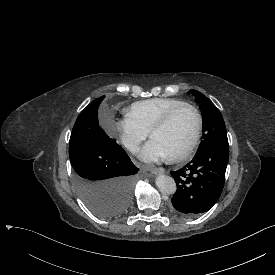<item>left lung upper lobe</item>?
I'll return each instance as SVG.
<instances>
[{"label": "left lung upper lobe", "mask_w": 275, "mask_h": 275, "mask_svg": "<svg viewBox=\"0 0 275 275\" xmlns=\"http://www.w3.org/2000/svg\"><path fill=\"white\" fill-rule=\"evenodd\" d=\"M190 92L198 100L204 116V140L197 153L214 145H228L226 127L220 111L200 92L196 90H190Z\"/></svg>", "instance_id": "obj_1"}]
</instances>
